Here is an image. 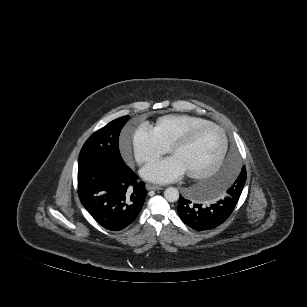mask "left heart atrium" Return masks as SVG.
I'll list each match as a JSON object with an SVG mask.
<instances>
[{
  "mask_svg": "<svg viewBox=\"0 0 307 307\" xmlns=\"http://www.w3.org/2000/svg\"><path fill=\"white\" fill-rule=\"evenodd\" d=\"M184 174L183 166L173 156L150 163L141 170L143 178L156 183L172 182Z\"/></svg>",
  "mask_w": 307,
  "mask_h": 307,
  "instance_id": "1",
  "label": "left heart atrium"
}]
</instances>
